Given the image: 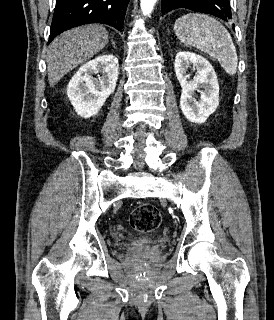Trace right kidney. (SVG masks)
Masks as SVG:
<instances>
[{
    "instance_id": "right-kidney-1",
    "label": "right kidney",
    "mask_w": 274,
    "mask_h": 320,
    "mask_svg": "<svg viewBox=\"0 0 274 320\" xmlns=\"http://www.w3.org/2000/svg\"><path fill=\"white\" fill-rule=\"evenodd\" d=\"M118 70V58L113 54H100L79 68L67 86V96L78 116L98 114L116 88Z\"/></svg>"
}]
</instances>
